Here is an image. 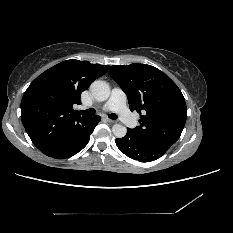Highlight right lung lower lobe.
Wrapping results in <instances>:
<instances>
[{"instance_id": "98d812e1", "label": "right lung lower lobe", "mask_w": 233, "mask_h": 233, "mask_svg": "<svg viewBox=\"0 0 233 233\" xmlns=\"http://www.w3.org/2000/svg\"><path fill=\"white\" fill-rule=\"evenodd\" d=\"M99 121L100 117L98 115L87 118L64 142L43 153L55 159H63L75 155L88 144L90 135Z\"/></svg>"}]
</instances>
